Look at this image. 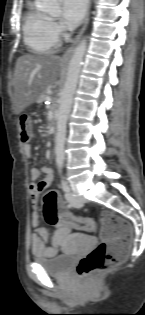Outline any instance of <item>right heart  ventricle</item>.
Returning a JSON list of instances; mask_svg holds the SVG:
<instances>
[{
	"label": "right heart ventricle",
	"mask_w": 145,
	"mask_h": 315,
	"mask_svg": "<svg viewBox=\"0 0 145 315\" xmlns=\"http://www.w3.org/2000/svg\"><path fill=\"white\" fill-rule=\"evenodd\" d=\"M23 37L27 48L35 54L50 53L59 44L52 20L38 9L36 1L30 2L24 16Z\"/></svg>",
	"instance_id": "obj_1"
}]
</instances>
